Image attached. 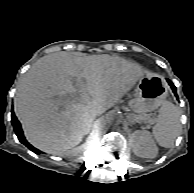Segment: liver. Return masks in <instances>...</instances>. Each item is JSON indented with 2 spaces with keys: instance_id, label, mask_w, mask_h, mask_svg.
<instances>
[{
  "instance_id": "6515ba94",
  "label": "liver",
  "mask_w": 194,
  "mask_h": 193,
  "mask_svg": "<svg viewBox=\"0 0 194 193\" xmlns=\"http://www.w3.org/2000/svg\"><path fill=\"white\" fill-rule=\"evenodd\" d=\"M143 76L142 69L118 56L46 55L21 78L14 109L27 140L50 154L62 155L87 134L89 113L113 107ZM74 80L78 85H74ZM85 80V84L81 81ZM84 88L90 97L59 111L62 98Z\"/></svg>"
}]
</instances>
